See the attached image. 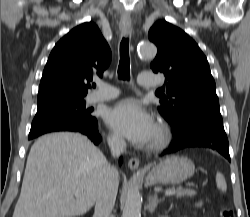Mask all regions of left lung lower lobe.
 I'll list each match as a JSON object with an SVG mask.
<instances>
[{"label": "left lung lower lobe", "instance_id": "0a47b994", "mask_svg": "<svg viewBox=\"0 0 250 217\" xmlns=\"http://www.w3.org/2000/svg\"><path fill=\"white\" fill-rule=\"evenodd\" d=\"M171 125L173 143L164 153H174L190 147H206L218 151L230 161L228 139L219 105L187 110L178 122Z\"/></svg>", "mask_w": 250, "mask_h": 217}]
</instances>
